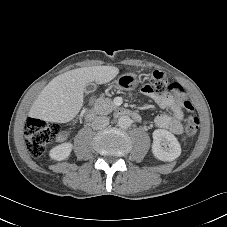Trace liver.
Masks as SVG:
<instances>
[{
    "label": "liver",
    "instance_id": "obj_1",
    "mask_svg": "<svg viewBox=\"0 0 227 227\" xmlns=\"http://www.w3.org/2000/svg\"><path fill=\"white\" fill-rule=\"evenodd\" d=\"M119 69L114 66H92L70 70L52 79L34 101L32 117L56 123L71 121L83 106L88 83L105 84L114 79Z\"/></svg>",
    "mask_w": 227,
    "mask_h": 227
}]
</instances>
